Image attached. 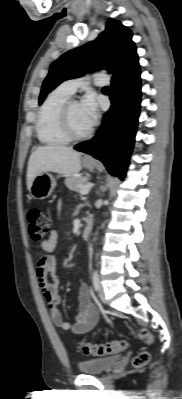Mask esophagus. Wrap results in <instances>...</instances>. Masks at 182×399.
I'll return each instance as SVG.
<instances>
[{
	"label": "esophagus",
	"instance_id": "obj_1",
	"mask_svg": "<svg viewBox=\"0 0 182 399\" xmlns=\"http://www.w3.org/2000/svg\"><path fill=\"white\" fill-rule=\"evenodd\" d=\"M85 159H89V156H85Z\"/></svg>",
	"mask_w": 182,
	"mask_h": 399
}]
</instances>
